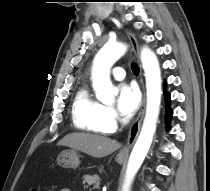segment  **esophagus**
Masks as SVG:
<instances>
[{"mask_svg": "<svg viewBox=\"0 0 210 191\" xmlns=\"http://www.w3.org/2000/svg\"><path fill=\"white\" fill-rule=\"evenodd\" d=\"M127 36L129 38V41L132 45V49L135 53V55L138 58L139 61V50H138V43L136 38L134 37L133 34L131 33H127ZM142 90H143V98H142V105H141V110L138 114V117L136 118V120L134 121V123L131 125L130 130H129V135H128V140H127V144L126 146L120 151L119 155H127L131 149V147L133 146L139 131H140V127H141V122L144 116V110H145V101H146V97H145V90L143 87V83H142Z\"/></svg>", "mask_w": 210, "mask_h": 191, "instance_id": "obj_1", "label": "esophagus"}]
</instances>
